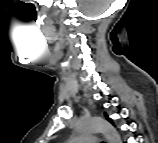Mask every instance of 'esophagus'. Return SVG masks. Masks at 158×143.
I'll list each match as a JSON object with an SVG mask.
<instances>
[{"label": "esophagus", "instance_id": "esophagus-1", "mask_svg": "<svg viewBox=\"0 0 158 143\" xmlns=\"http://www.w3.org/2000/svg\"><path fill=\"white\" fill-rule=\"evenodd\" d=\"M102 142H103V143H106V139H105V138H102Z\"/></svg>", "mask_w": 158, "mask_h": 143}]
</instances>
